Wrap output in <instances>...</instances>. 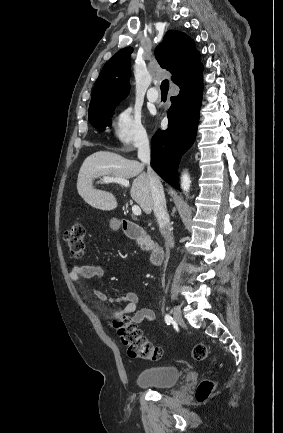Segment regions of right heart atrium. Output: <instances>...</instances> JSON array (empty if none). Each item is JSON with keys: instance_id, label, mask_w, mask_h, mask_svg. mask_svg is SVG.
I'll return each mask as SVG.
<instances>
[{"instance_id": "obj_1", "label": "right heart atrium", "mask_w": 283, "mask_h": 433, "mask_svg": "<svg viewBox=\"0 0 283 433\" xmlns=\"http://www.w3.org/2000/svg\"><path fill=\"white\" fill-rule=\"evenodd\" d=\"M111 131L116 143L115 149L123 154L145 148L150 138L140 108L125 105L114 115Z\"/></svg>"}]
</instances>
